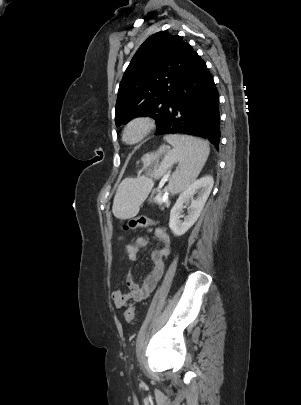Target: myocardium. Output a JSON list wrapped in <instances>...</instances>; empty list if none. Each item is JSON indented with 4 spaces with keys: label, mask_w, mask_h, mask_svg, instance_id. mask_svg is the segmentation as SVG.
I'll use <instances>...</instances> for the list:
<instances>
[{
    "label": "myocardium",
    "mask_w": 301,
    "mask_h": 405,
    "mask_svg": "<svg viewBox=\"0 0 301 405\" xmlns=\"http://www.w3.org/2000/svg\"><path fill=\"white\" fill-rule=\"evenodd\" d=\"M155 128V121L150 116H138L129 120L123 127L121 133L122 141L127 145H137L147 138ZM136 131V136L133 139H128V134Z\"/></svg>",
    "instance_id": "1"
}]
</instances>
